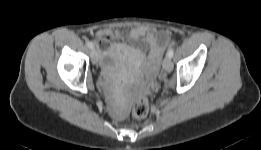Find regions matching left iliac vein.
I'll list each match as a JSON object with an SVG mask.
<instances>
[{
	"mask_svg": "<svg viewBox=\"0 0 261 150\" xmlns=\"http://www.w3.org/2000/svg\"><path fill=\"white\" fill-rule=\"evenodd\" d=\"M163 68L168 72L172 71L173 69L171 58H169L168 56H166L163 60Z\"/></svg>",
	"mask_w": 261,
	"mask_h": 150,
	"instance_id": "4c4485c4",
	"label": "left iliac vein"
}]
</instances>
